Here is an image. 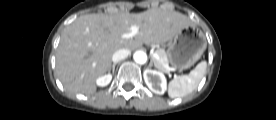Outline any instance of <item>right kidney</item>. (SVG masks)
<instances>
[{
  "label": "right kidney",
  "mask_w": 276,
  "mask_h": 120,
  "mask_svg": "<svg viewBox=\"0 0 276 120\" xmlns=\"http://www.w3.org/2000/svg\"><path fill=\"white\" fill-rule=\"evenodd\" d=\"M111 80H112V75L106 74L97 78L96 83L98 86L104 87V86H107L111 82Z\"/></svg>",
  "instance_id": "right-kidney-1"
}]
</instances>
